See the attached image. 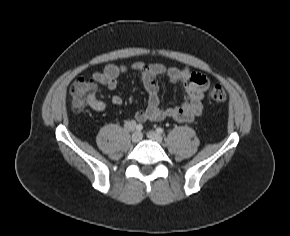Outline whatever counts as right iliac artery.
<instances>
[{"instance_id":"right-iliac-artery-1","label":"right iliac artery","mask_w":290,"mask_h":236,"mask_svg":"<svg viewBox=\"0 0 290 236\" xmlns=\"http://www.w3.org/2000/svg\"><path fill=\"white\" fill-rule=\"evenodd\" d=\"M135 129H136L138 132H140V131H142L143 126H142L141 124H136Z\"/></svg>"}]
</instances>
